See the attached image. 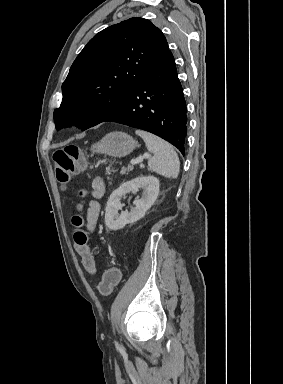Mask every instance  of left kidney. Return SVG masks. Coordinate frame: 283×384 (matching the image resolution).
Segmentation results:
<instances>
[{"instance_id":"5707ae66","label":"left kidney","mask_w":283,"mask_h":384,"mask_svg":"<svg viewBox=\"0 0 283 384\" xmlns=\"http://www.w3.org/2000/svg\"><path fill=\"white\" fill-rule=\"evenodd\" d=\"M139 188H143L141 200H135L136 208H131V212H121L124 204L120 200L125 194L130 192H139ZM159 194V180L154 176H145V178H135L131 182H124L118 190L112 192L106 206L105 226L108 230H121L126 224H134L137 220H141L145 216V212L153 206Z\"/></svg>"}]
</instances>
